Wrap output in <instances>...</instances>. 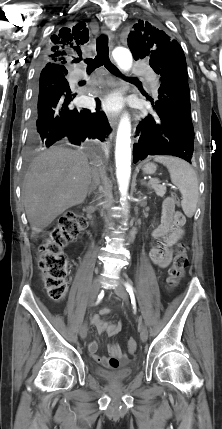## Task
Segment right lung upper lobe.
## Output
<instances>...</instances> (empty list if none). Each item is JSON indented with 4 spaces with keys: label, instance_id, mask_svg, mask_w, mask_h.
<instances>
[{
    "label": "right lung upper lobe",
    "instance_id": "obj_1",
    "mask_svg": "<svg viewBox=\"0 0 222 429\" xmlns=\"http://www.w3.org/2000/svg\"><path fill=\"white\" fill-rule=\"evenodd\" d=\"M88 39V30H82L79 24L70 28H62L58 35L51 37L53 43L46 47L44 61L57 64L61 73L67 74L68 71L64 66L66 60L75 51L80 52L79 45L86 43Z\"/></svg>",
    "mask_w": 222,
    "mask_h": 429
}]
</instances>
